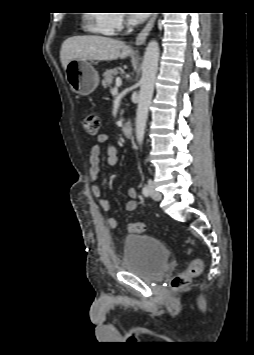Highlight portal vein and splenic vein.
Here are the masks:
<instances>
[{"mask_svg": "<svg viewBox=\"0 0 254 355\" xmlns=\"http://www.w3.org/2000/svg\"><path fill=\"white\" fill-rule=\"evenodd\" d=\"M121 84H122V80H121V78H120V77H117V78H116V83H115L114 90H117V89H118V87H120V86H121Z\"/></svg>", "mask_w": 254, "mask_h": 355, "instance_id": "portal-vein-and-splenic-vein-1", "label": "portal vein and splenic vein"}]
</instances>
